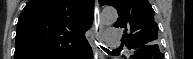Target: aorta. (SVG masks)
<instances>
[{"instance_id": "aorta-1", "label": "aorta", "mask_w": 193, "mask_h": 59, "mask_svg": "<svg viewBox=\"0 0 193 59\" xmlns=\"http://www.w3.org/2000/svg\"><path fill=\"white\" fill-rule=\"evenodd\" d=\"M117 18L118 13L112 7L105 8L101 13V20L106 25L113 24L114 22H116Z\"/></svg>"}]
</instances>
